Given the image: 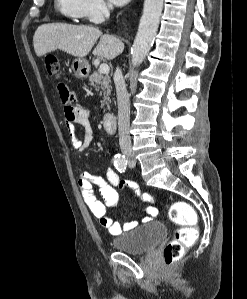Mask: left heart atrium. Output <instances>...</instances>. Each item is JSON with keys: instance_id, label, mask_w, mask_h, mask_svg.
Wrapping results in <instances>:
<instances>
[{"instance_id": "1", "label": "left heart atrium", "mask_w": 247, "mask_h": 299, "mask_svg": "<svg viewBox=\"0 0 247 299\" xmlns=\"http://www.w3.org/2000/svg\"><path fill=\"white\" fill-rule=\"evenodd\" d=\"M110 1L117 6H122L128 3L130 0H110Z\"/></svg>"}]
</instances>
